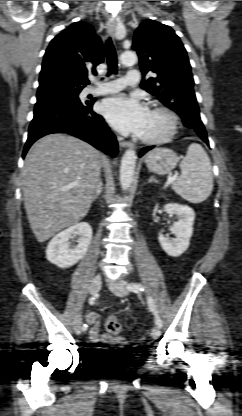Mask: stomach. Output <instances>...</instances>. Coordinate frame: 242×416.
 Returning <instances> with one entry per match:
<instances>
[{
    "label": "stomach",
    "instance_id": "stomach-1",
    "mask_svg": "<svg viewBox=\"0 0 242 416\" xmlns=\"http://www.w3.org/2000/svg\"><path fill=\"white\" fill-rule=\"evenodd\" d=\"M177 154L168 148H155L145 157L147 168L159 175H164L173 170L178 162Z\"/></svg>",
    "mask_w": 242,
    "mask_h": 416
}]
</instances>
